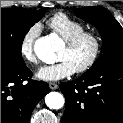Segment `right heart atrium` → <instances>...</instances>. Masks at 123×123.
<instances>
[{"label":"right heart atrium","mask_w":123,"mask_h":123,"mask_svg":"<svg viewBox=\"0 0 123 123\" xmlns=\"http://www.w3.org/2000/svg\"><path fill=\"white\" fill-rule=\"evenodd\" d=\"M40 33V27L38 24L31 25L23 34L19 51L23 59L31 64L37 62L35 53H34V42Z\"/></svg>","instance_id":"obj_1"}]
</instances>
